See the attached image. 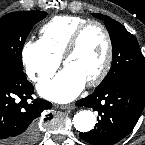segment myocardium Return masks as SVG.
Masks as SVG:
<instances>
[{"instance_id": "f54148a6", "label": "myocardium", "mask_w": 145, "mask_h": 145, "mask_svg": "<svg viewBox=\"0 0 145 145\" xmlns=\"http://www.w3.org/2000/svg\"><path fill=\"white\" fill-rule=\"evenodd\" d=\"M91 26H97L102 30L106 39V44H107L106 56H105V60H104L101 70L93 79L86 82L87 86L95 87V86H98L108 75L112 66L113 55H114L113 42H112L110 32L103 23L96 20H88L87 22L80 25L72 34L60 60H61L62 65H65L66 60L70 56H72L73 53L76 51L83 33Z\"/></svg>"}]
</instances>
